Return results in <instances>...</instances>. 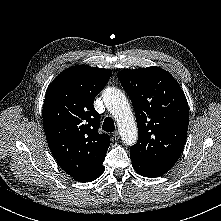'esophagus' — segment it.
<instances>
[{
    "label": "esophagus",
    "mask_w": 221,
    "mask_h": 221,
    "mask_svg": "<svg viewBox=\"0 0 221 221\" xmlns=\"http://www.w3.org/2000/svg\"><path fill=\"white\" fill-rule=\"evenodd\" d=\"M113 138H114L115 140H119V138H120L119 131H115V132L113 133Z\"/></svg>",
    "instance_id": "obj_1"
}]
</instances>
